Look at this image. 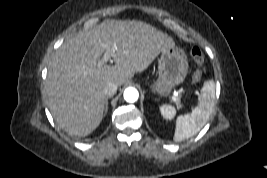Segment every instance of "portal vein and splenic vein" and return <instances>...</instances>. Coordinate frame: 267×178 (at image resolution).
<instances>
[{"label":"portal vein and splenic vein","mask_w":267,"mask_h":178,"mask_svg":"<svg viewBox=\"0 0 267 178\" xmlns=\"http://www.w3.org/2000/svg\"><path fill=\"white\" fill-rule=\"evenodd\" d=\"M116 50H117V46H116V45H113V46H106V51H105V53H104L102 59L100 60L99 64H100V65H103V64H105L107 61H109L110 58L115 54ZM172 100H173L174 102H176V103L179 102V100H178V98H177L176 95H174V96L172 97Z\"/></svg>","instance_id":"18ae733b"}]
</instances>
